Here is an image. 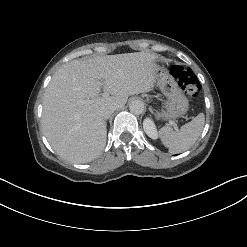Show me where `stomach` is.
<instances>
[{
	"instance_id": "0dacf381",
	"label": "stomach",
	"mask_w": 247,
	"mask_h": 247,
	"mask_svg": "<svg viewBox=\"0 0 247 247\" xmlns=\"http://www.w3.org/2000/svg\"><path fill=\"white\" fill-rule=\"evenodd\" d=\"M138 72L146 78L156 76L157 86L167 98L157 118L177 119L188 111L189 101L167 69L153 61L143 60L138 65Z\"/></svg>"
}]
</instances>
